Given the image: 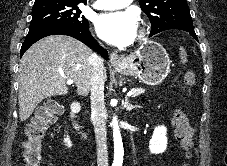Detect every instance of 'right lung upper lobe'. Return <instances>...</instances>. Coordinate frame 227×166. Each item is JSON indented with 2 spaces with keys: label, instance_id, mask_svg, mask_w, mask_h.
Instances as JSON below:
<instances>
[{
  "label": "right lung upper lobe",
  "instance_id": "cb5924a9",
  "mask_svg": "<svg viewBox=\"0 0 227 166\" xmlns=\"http://www.w3.org/2000/svg\"><path fill=\"white\" fill-rule=\"evenodd\" d=\"M73 3V4H79L81 2L86 3V0H35L34 5L42 4V3Z\"/></svg>",
  "mask_w": 227,
  "mask_h": 166
}]
</instances>
